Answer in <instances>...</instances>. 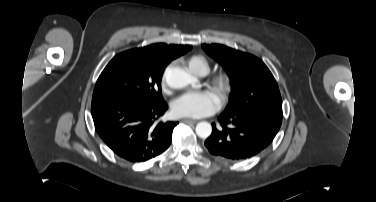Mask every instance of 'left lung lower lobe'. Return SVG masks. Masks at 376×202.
I'll return each mask as SVG.
<instances>
[{"label": "left lung lower lobe", "mask_w": 376, "mask_h": 202, "mask_svg": "<svg viewBox=\"0 0 376 202\" xmlns=\"http://www.w3.org/2000/svg\"><path fill=\"white\" fill-rule=\"evenodd\" d=\"M218 121L220 126L212 124L213 131L205 145L211 154L229 160L250 158L266 149L282 123V119L260 112H223Z\"/></svg>", "instance_id": "1"}]
</instances>
